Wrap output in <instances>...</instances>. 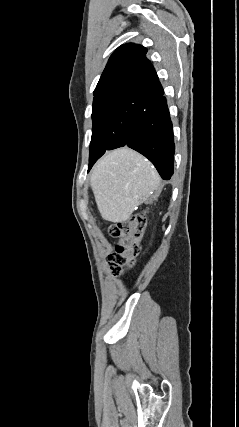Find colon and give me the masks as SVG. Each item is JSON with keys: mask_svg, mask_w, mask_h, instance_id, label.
<instances>
[{"mask_svg": "<svg viewBox=\"0 0 239 427\" xmlns=\"http://www.w3.org/2000/svg\"><path fill=\"white\" fill-rule=\"evenodd\" d=\"M146 224V217L142 213L133 215L129 220L112 225L109 232L117 240L116 252L108 263L109 271L119 275L124 267H130L133 259L139 253V240Z\"/></svg>", "mask_w": 239, "mask_h": 427, "instance_id": "obj_1", "label": "colon"}]
</instances>
